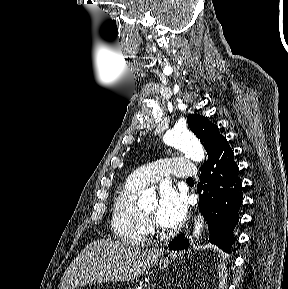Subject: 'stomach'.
<instances>
[{
    "mask_svg": "<svg viewBox=\"0 0 288 289\" xmlns=\"http://www.w3.org/2000/svg\"><path fill=\"white\" fill-rule=\"evenodd\" d=\"M170 261L168 260V258H162L159 261V267L160 269H166L169 265ZM84 289H88V288H84Z\"/></svg>",
    "mask_w": 288,
    "mask_h": 289,
    "instance_id": "0dacf381",
    "label": "stomach"
}]
</instances>
